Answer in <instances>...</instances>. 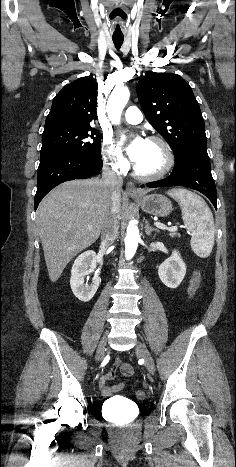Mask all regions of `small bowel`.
I'll list each match as a JSON object with an SVG mask.
<instances>
[{"mask_svg": "<svg viewBox=\"0 0 236 467\" xmlns=\"http://www.w3.org/2000/svg\"><path fill=\"white\" fill-rule=\"evenodd\" d=\"M117 371H120L124 378L131 377L134 373V369L130 364L124 363L120 358H116L110 370L100 379L99 385L103 396H110L111 394L121 391L124 388V382L109 385V383L114 379Z\"/></svg>", "mask_w": 236, "mask_h": 467, "instance_id": "obj_1", "label": "small bowel"}]
</instances>
